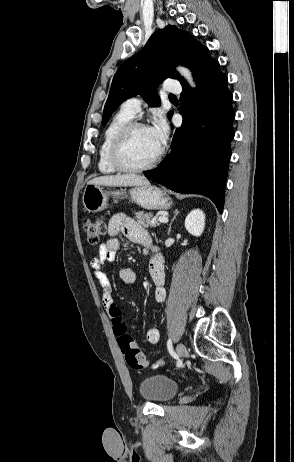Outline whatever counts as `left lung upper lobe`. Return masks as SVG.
Returning a JSON list of instances; mask_svg holds the SVG:
<instances>
[{
  "label": "left lung upper lobe",
  "instance_id": "obj_1",
  "mask_svg": "<svg viewBox=\"0 0 294 462\" xmlns=\"http://www.w3.org/2000/svg\"><path fill=\"white\" fill-rule=\"evenodd\" d=\"M210 60L207 47L176 26L168 25L155 32L145 47L117 70L104 107L102 125L123 101L138 94H145L149 105L160 106L156 88L162 80L173 78L186 82L175 70L176 65L187 66L195 75ZM172 113L169 112V118Z\"/></svg>",
  "mask_w": 294,
  "mask_h": 462
}]
</instances>
